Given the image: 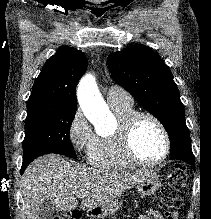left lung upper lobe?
<instances>
[{
  "instance_id": "1",
  "label": "left lung upper lobe",
  "mask_w": 211,
  "mask_h": 219,
  "mask_svg": "<svg viewBox=\"0 0 211 219\" xmlns=\"http://www.w3.org/2000/svg\"><path fill=\"white\" fill-rule=\"evenodd\" d=\"M114 80L165 127L170 153L191 145L184 107L169 67L148 46L134 45L108 56Z\"/></svg>"
}]
</instances>
